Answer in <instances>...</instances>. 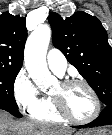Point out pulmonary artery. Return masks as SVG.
I'll return each mask as SVG.
<instances>
[{
	"instance_id": "1",
	"label": "pulmonary artery",
	"mask_w": 112,
	"mask_h": 135,
	"mask_svg": "<svg viewBox=\"0 0 112 135\" xmlns=\"http://www.w3.org/2000/svg\"><path fill=\"white\" fill-rule=\"evenodd\" d=\"M47 64L49 68L59 76H62L67 68L65 56L60 50L56 48L49 50L47 54Z\"/></svg>"
}]
</instances>
